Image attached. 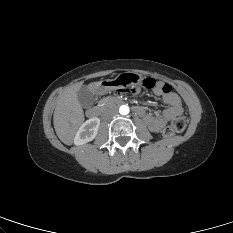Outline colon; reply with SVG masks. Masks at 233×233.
I'll return each mask as SVG.
<instances>
[{
	"label": "colon",
	"instance_id": "5ec220e1",
	"mask_svg": "<svg viewBox=\"0 0 233 233\" xmlns=\"http://www.w3.org/2000/svg\"><path fill=\"white\" fill-rule=\"evenodd\" d=\"M142 85L145 88L152 89L158 85V81H156L153 78H146L142 81ZM161 89L163 92H168V91H170L171 87L168 84L163 83L161 85ZM135 92H136V89H128L124 94L125 95H132ZM187 124H188V120L186 117H184V116L177 117V118L173 119L172 122L170 123V125H168L163 130L162 134L166 138L171 137L176 133L184 131L187 127Z\"/></svg>",
	"mask_w": 233,
	"mask_h": 233
}]
</instances>
